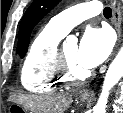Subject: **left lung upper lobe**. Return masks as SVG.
Here are the masks:
<instances>
[{
    "instance_id": "obj_1",
    "label": "left lung upper lobe",
    "mask_w": 123,
    "mask_h": 113,
    "mask_svg": "<svg viewBox=\"0 0 123 113\" xmlns=\"http://www.w3.org/2000/svg\"><path fill=\"white\" fill-rule=\"evenodd\" d=\"M61 0H34L26 10L19 30V55L23 58L27 52L32 29Z\"/></svg>"
}]
</instances>
